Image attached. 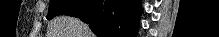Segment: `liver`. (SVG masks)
I'll use <instances>...</instances> for the list:
<instances>
[{
	"label": "liver",
	"mask_w": 219,
	"mask_h": 37,
	"mask_svg": "<svg viewBox=\"0 0 219 37\" xmlns=\"http://www.w3.org/2000/svg\"><path fill=\"white\" fill-rule=\"evenodd\" d=\"M47 37H94V34L79 19L60 16L50 23Z\"/></svg>",
	"instance_id": "liver-1"
}]
</instances>
